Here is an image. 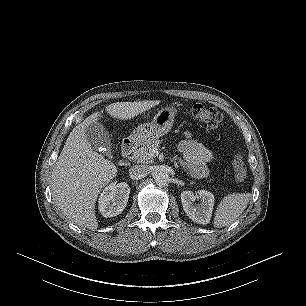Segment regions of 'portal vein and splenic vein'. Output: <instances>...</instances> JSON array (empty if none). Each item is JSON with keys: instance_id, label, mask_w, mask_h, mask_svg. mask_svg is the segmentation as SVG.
<instances>
[{"instance_id": "1", "label": "portal vein and splenic vein", "mask_w": 306, "mask_h": 306, "mask_svg": "<svg viewBox=\"0 0 306 306\" xmlns=\"http://www.w3.org/2000/svg\"><path fill=\"white\" fill-rule=\"evenodd\" d=\"M158 153H159L158 148H152V149H150V151H149V156L155 157V156L158 155Z\"/></svg>"}]
</instances>
